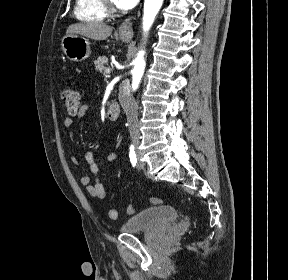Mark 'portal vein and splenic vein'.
I'll return each instance as SVG.
<instances>
[{"label": "portal vein and splenic vein", "instance_id": "1", "mask_svg": "<svg viewBox=\"0 0 288 280\" xmlns=\"http://www.w3.org/2000/svg\"><path fill=\"white\" fill-rule=\"evenodd\" d=\"M104 72H105L106 75H108L110 73V69L109 68H105Z\"/></svg>", "mask_w": 288, "mask_h": 280}]
</instances>
